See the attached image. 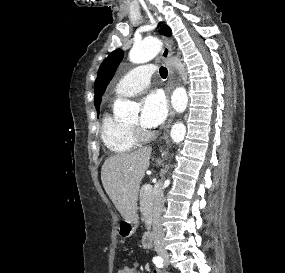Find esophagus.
<instances>
[{
	"label": "esophagus",
	"instance_id": "34e87169",
	"mask_svg": "<svg viewBox=\"0 0 285 273\" xmlns=\"http://www.w3.org/2000/svg\"><path fill=\"white\" fill-rule=\"evenodd\" d=\"M172 55V42L168 38H163V47L161 51V58L165 62L168 71H169V84L167 88V95L169 96L170 90L173 88V85L175 83L174 77H175V70L172 67V65L169 62V59ZM174 117V112L172 110V107L170 106V112H169V118H168V123H167V129L166 132H168V129L170 127V124L173 120ZM167 137V134H164V139Z\"/></svg>",
	"mask_w": 285,
	"mask_h": 273
}]
</instances>
